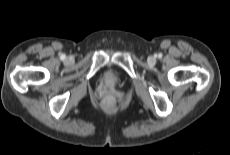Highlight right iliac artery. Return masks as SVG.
Instances as JSON below:
<instances>
[{"mask_svg":"<svg viewBox=\"0 0 230 155\" xmlns=\"http://www.w3.org/2000/svg\"><path fill=\"white\" fill-rule=\"evenodd\" d=\"M60 58H61V60H64V59L66 58V56H65L64 54H62V55L60 56Z\"/></svg>","mask_w":230,"mask_h":155,"instance_id":"right-iliac-artery-1","label":"right iliac artery"}]
</instances>
